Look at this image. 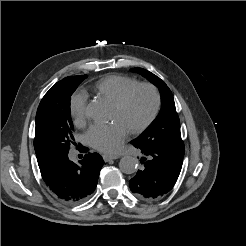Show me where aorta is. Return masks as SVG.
I'll use <instances>...</instances> for the list:
<instances>
[{
	"label": "aorta",
	"instance_id": "762f6f07",
	"mask_svg": "<svg viewBox=\"0 0 246 246\" xmlns=\"http://www.w3.org/2000/svg\"><path fill=\"white\" fill-rule=\"evenodd\" d=\"M88 117L101 121L107 116V107L97 101L91 102L86 108ZM119 168L123 173L133 174L138 168V159L132 156H124L119 162Z\"/></svg>",
	"mask_w": 246,
	"mask_h": 246
}]
</instances>
